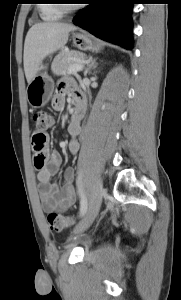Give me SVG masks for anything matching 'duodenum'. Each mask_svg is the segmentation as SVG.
<instances>
[{
  "instance_id": "410a0bca",
  "label": "duodenum",
  "mask_w": 181,
  "mask_h": 300,
  "mask_svg": "<svg viewBox=\"0 0 181 300\" xmlns=\"http://www.w3.org/2000/svg\"><path fill=\"white\" fill-rule=\"evenodd\" d=\"M84 112V104L82 102H77L75 105L74 115L72 117L73 121H77Z\"/></svg>"
}]
</instances>
